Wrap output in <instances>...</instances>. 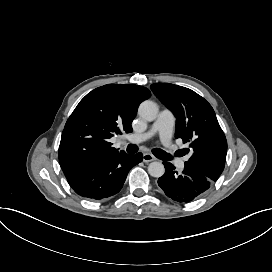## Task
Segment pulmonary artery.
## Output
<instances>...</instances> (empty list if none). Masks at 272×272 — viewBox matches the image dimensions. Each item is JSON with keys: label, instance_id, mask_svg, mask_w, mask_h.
I'll return each instance as SVG.
<instances>
[{"label": "pulmonary artery", "instance_id": "1", "mask_svg": "<svg viewBox=\"0 0 272 272\" xmlns=\"http://www.w3.org/2000/svg\"><path fill=\"white\" fill-rule=\"evenodd\" d=\"M175 124V117L172 113L162 111L160 112L157 120L154 122L152 126V130L148 132L147 134L142 133L133 136L132 141L135 144L142 143L147 141L148 137L154 135L155 133H159L162 141L166 143V147L172 154L178 153V148L174 145L173 142L170 141L172 133H173V127ZM176 167L178 169L183 170L186 167L185 162L183 160L178 159L175 162Z\"/></svg>", "mask_w": 272, "mask_h": 272}]
</instances>
